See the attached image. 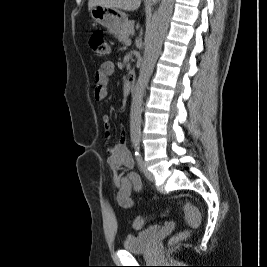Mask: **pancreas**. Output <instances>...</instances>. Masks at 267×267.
Returning <instances> with one entry per match:
<instances>
[{
    "label": "pancreas",
    "mask_w": 267,
    "mask_h": 267,
    "mask_svg": "<svg viewBox=\"0 0 267 267\" xmlns=\"http://www.w3.org/2000/svg\"><path fill=\"white\" fill-rule=\"evenodd\" d=\"M134 32V21H127L118 34V40L125 42Z\"/></svg>",
    "instance_id": "obj_1"
}]
</instances>
